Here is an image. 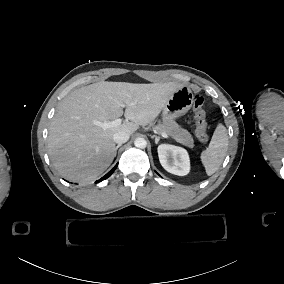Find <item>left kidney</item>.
Segmentation results:
<instances>
[{
    "label": "left kidney",
    "instance_id": "5707ae66",
    "mask_svg": "<svg viewBox=\"0 0 284 284\" xmlns=\"http://www.w3.org/2000/svg\"><path fill=\"white\" fill-rule=\"evenodd\" d=\"M158 156L162 167L169 173L184 176L190 171L188 152L178 146L161 144L158 146Z\"/></svg>",
    "mask_w": 284,
    "mask_h": 284
}]
</instances>
